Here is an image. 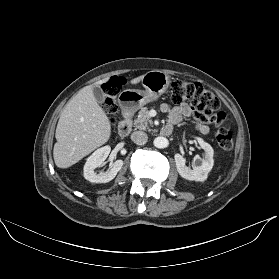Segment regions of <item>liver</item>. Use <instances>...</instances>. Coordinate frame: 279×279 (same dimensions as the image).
Segmentation results:
<instances>
[{
    "label": "liver",
    "mask_w": 279,
    "mask_h": 279,
    "mask_svg": "<svg viewBox=\"0 0 279 279\" xmlns=\"http://www.w3.org/2000/svg\"><path fill=\"white\" fill-rule=\"evenodd\" d=\"M143 76L132 79L130 83H139ZM107 80L105 78L82 88L61 112L55 133L57 142L53 149L57 167L74 165L109 140L110 121L93 94V87Z\"/></svg>",
    "instance_id": "1"
}]
</instances>
